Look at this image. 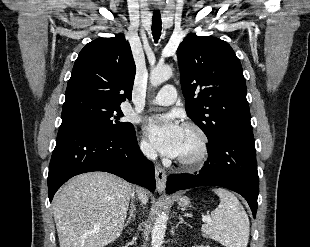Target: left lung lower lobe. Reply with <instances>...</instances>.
Masks as SVG:
<instances>
[{"label":"left lung lower lobe","instance_id":"left-lung-lower-lobe-1","mask_svg":"<svg viewBox=\"0 0 310 247\" xmlns=\"http://www.w3.org/2000/svg\"><path fill=\"white\" fill-rule=\"evenodd\" d=\"M207 150L208 159L199 172L168 177L167 193L204 185L225 187L247 200L255 218L259 178L252 131L225 137Z\"/></svg>","mask_w":310,"mask_h":247}]
</instances>
